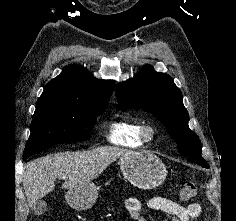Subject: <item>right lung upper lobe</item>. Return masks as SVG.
<instances>
[{"label": "right lung upper lobe", "mask_w": 236, "mask_h": 221, "mask_svg": "<svg viewBox=\"0 0 236 221\" xmlns=\"http://www.w3.org/2000/svg\"><path fill=\"white\" fill-rule=\"evenodd\" d=\"M113 89V81L96 79L87 69L70 64L47 83L37 104H107Z\"/></svg>", "instance_id": "obj_1"}]
</instances>
